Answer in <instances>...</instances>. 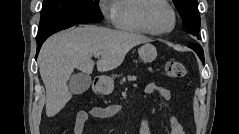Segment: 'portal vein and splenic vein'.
Masks as SVG:
<instances>
[{
  "instance_id": "obj_1",
  "label": "portal vein and splenic vein",
  "mask_w": 239,
  "mask_h": 134,
  "mask_svg": "<svg viewBox=\"0 0 239 134\" xmlns=\"http://www.w3.org/2000/svg\"><path fill=\"white\" fill-rule=\"evenodd\" d=\"M100 55H101V52H95V53H94V57H95V58H99Z\"/></svg>"
}]
</instances>
